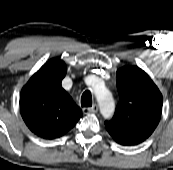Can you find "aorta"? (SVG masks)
Here are the masks:
<instances>
[{"mask_svg":"<svg viewBox=\"0 0 173 170\" xmlns=\"http://www.w3.org/2000/svg\"><path fill=\"white\" fill-rule=\"evenodd\" d=\"M94 93L102 116L106 119L112 117L115 110V102L110 92L104 86L95 84Z\"/></svg>","mask_w":173,"mask_h":170,"instance_id":"1","label":"aorta"}]
</instances>
